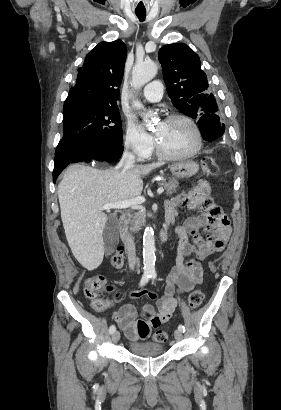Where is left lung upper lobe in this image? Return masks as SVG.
I'll return each instance as SVG.
<instances>
[{
	"label": "left lung upper lobe",
	"mask_w": 281,
	"mask_h": 410,
	"mask_svg": "<svg viewBox=\"0 0 281 410\" xmlns=\"http://www.w3.org/2000/svg\"><path fill=\"white\" fill-rule=\"evenodd\" d=\"M158 56L168 95L178 110L194 119L218 111L196 53L183 43H175L163 46Z\"/></svg>",
	"instance_id": "left-lung-upper-lobe-1"
}]
</instances>
